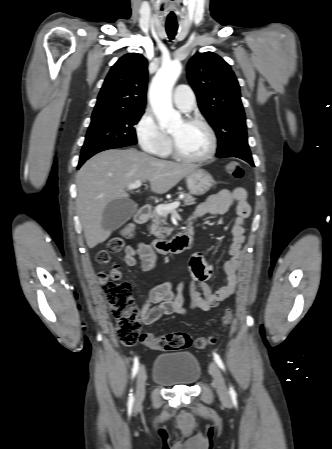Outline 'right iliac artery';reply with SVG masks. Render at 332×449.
Segmentation results:
<instances>
[{"mask_svg": "<svg viewBox=\"0 0 332 449\" xmlns=\"http://www.w3.org/2000/svg\"><path fill=\"white\" fill-rule=\"evenodd\" d=\"M139 369V361L138 358L135 357L134 358V364H133V368H132V378H134L138 372ZM134 404V395L132 393V390L129 393V397H128V406L132 407Z\"/></svg>", "mask_w": 332, "mask_h": 449, "instance_id": "obj_1", "label": "right iliac artery"}]
</instances>
